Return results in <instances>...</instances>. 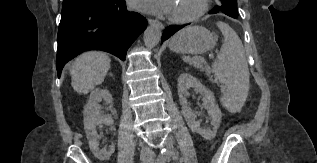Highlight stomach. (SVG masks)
I'll return each instance as SVG.
<instances>
[{
  "instance_id": "1",
  "label": "stomach",
  "mask_w": 317,
  "mask_h": 163,
  "mask_svg": "<svg viewBox=\"0 0 317 163\" xmlns=\"http://www.w3.org/2000/svg\"><path fill=\"white\" fill-rule=\"evenodd\" d=\"M217 38L202 26H189L176 33L169 44L172 51L187 54H203L216 45Z\"/></svg>"
}]
</instances>
